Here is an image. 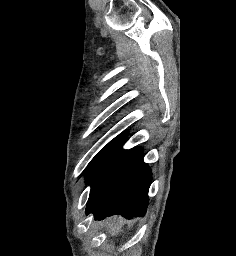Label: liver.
Segmentation results:
<instances>
[{"label":"liver","instance_id":"obj_1","mask_svg":"<svg viewBox=\"0 0 236 256\" xmlns=\"http://www.w3.org/2000/svg\"><path fill=\"white\" fill-rule=\"evenodd\" d=\"M113 222H117L116 216H114L113 220H106V228H109V234L112 236H118L119 232H123L121 228H119L118 224H113ZM118 222H123L122 218H119Z\"/></svg>","mask_w":236,"mask_h":256}]
</instances>
